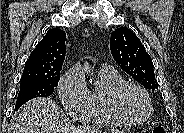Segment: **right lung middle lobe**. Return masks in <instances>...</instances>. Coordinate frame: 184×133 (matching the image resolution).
<instances>
[{
    "mask_svg": "<svg viewBox=\"0 0 184 133\" xmlns=\"http://www.w3.org/2000/svg\"><path fill=\"white\" fill-rule=\"evenodd\" d=\"M60 76H55L47 80H20V91L17 97L15 110H18L27 101L36 97H48L57 87Z\"/></svg>",
    "mask_w": 184,
    "mask_h": 133,
    "instance_id": "dd1d6c3e",
    "label": "right lung middle lobe"
}]
</instances>
